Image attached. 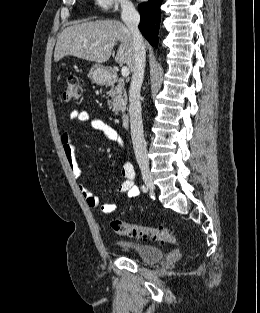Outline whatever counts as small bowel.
Here are the masks:
<instances>
[{
	"label": "small bowel",
	"mask_w": 260,
	"mask_h": 313,
	"mask_svg": "<svg viewBox=\"0 0 260 313\" xmlns=\"http://www.w3.org/2000/svg\"><path fill=\"white\" fill-rule=\"evenodd\" d=\"M69 118L71 120H78L81 122H87L91 125L92 128L102 132L105 137L111 141L116 142L119 146H123V142L118 135L117 131L106 122L92 117V115L85 110L74 109L70 112ZM61 144L63 148V154L67 165L74 178L78 179L81 176V170L79 164L75 157L74 147L70 143V134L67 131H64L61 135ZM122 176L123 180L119 186V192L125 194L129 198H134L138 195V191L135 183V171L132 164L128 161H124L122 164ZM78 189L86 201V204L90 208H100L102 213L109 214L113 212L116 208V204L113 202L101 204L98 197H96L90 189L84 185L79 184Z\"/></svg>",
	"instance_id": "small-bowel-1"
}]
</instances>
